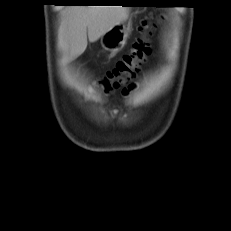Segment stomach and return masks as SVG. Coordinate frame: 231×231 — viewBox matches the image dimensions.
<instances>
[{"instance_id":"stomach-1","label":"stomach","mask_w":231,"mask_h":231,"mask_svg":"<svg viewBox=\"0 0 231 231\" xmlns=\"http://www.w3.org/2000/svg\"><path fill=\"white\" fill-rule=\"evenodd\" d=\"M129 33L130 23L116 25L103 35L101 39L102 46L108 50H117L125 43Z\"/></svg>"}]
</instances>
